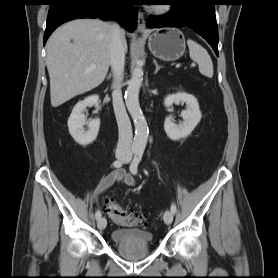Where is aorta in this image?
<instances>
[{
	"mask_svg": "<svg viewBox=\"0 0 278 278\" xmlns=\"http://www.w3.org/2000/svg\"><path fill=\"white\" fill-rule=\"evenodd\" d=\"M142 81L143 69L141 67V62L137 61L135 68L132 70V75L125 93L126 106L133 119L135 127L133 149L136 151H144L149 134L147 122L139 104V90Z\"/></svg>",
	"mask_w": 278,
	"mask_h": 278,
	"instance_id": "762f6f07",
	"label": "aorta"
}]
</instances>
